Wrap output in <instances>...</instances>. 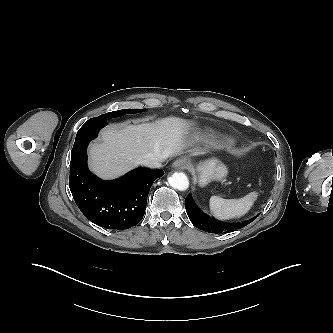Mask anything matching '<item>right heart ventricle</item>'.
<instances>
[{"instance_id": "right-heart-ventricle-1", "label": "right heart ventricle", "mask_w": 333, "mask_h": 333, "mask_svg": "<svg viewBox=\"0 0 333 333\" xmlns=\"http://www.w3.org/2000/svg\"><path fill=\"white\" fill-rule=\"evenodd\" d=\"M211 137H212V134L207 133V134L202 135V136H201V139H203V140H208V139H210Z\"/></svg>"}]
</instances>
